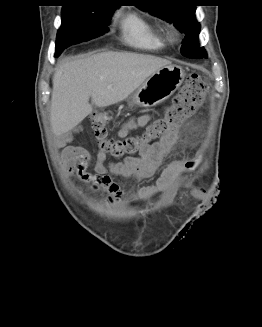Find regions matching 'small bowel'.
I'll return each mask as SVG.
<instances>
[{"instance_id": "small-bowel-1", "label": "small bowel", "mask_w": 262, "mask_h": 327, "mask_svg": "<svg viewBox=\"0 0 262 327\" xmlns=\"http://www.w3.org/2000/svg\"><path fill=\"white\" fill-rule=\"evenodd\" d=\"M152 117L149 114H142L130 117L118 129L117 135L125 138L136 129L145 127ZM72 134L62 138L68 142ZM178 130L170 135L154 142L144 149L137 158H127L123 162L105 164L106 154L100 149L94 166V172H89V154L78 146H65L62 151L61 165L67 173H76L84 182L92 185L93 189H105L108 193L107 202L117 204L122 201H134L148 198L156 193L172 191L178 184L181 176L189 171L190 165H195L190 159H179L172 161L162 172L154 185L140 188L135 194H127L120 185L113 180L111 175H117L133 180H141L152 177L160 168L163 157L168 154L178 141ZM207 188H190L189 194L192 199H205ZM198 203L196 200L193 202Z\"/></svg>"}]
</instances>
